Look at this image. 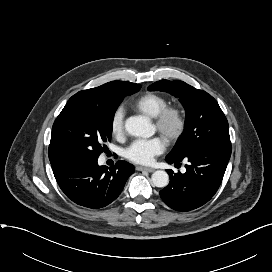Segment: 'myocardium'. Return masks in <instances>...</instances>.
<instances>
[{
  "label": "myocardium",
  "mask_w": 272,
  "mask_h": 272,
  "mask_svg": "<svg viewBox=\"0 0 272 272\" xmlns=\"http://www.w3.org/2000/svg\"><path fill=\"white\" fill-rule=\"evenodd\" d=\"M154 122L158 132L168 143H174L181 138L186 128V118L181 107L167 105L155 117Z\"/></svg>",
  "instance_id": "1"
}]
</instances>
